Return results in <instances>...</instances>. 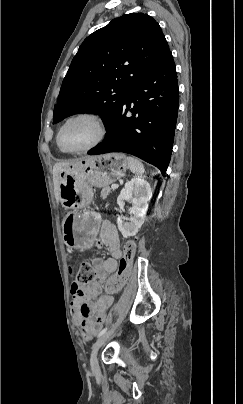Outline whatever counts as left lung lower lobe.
I'll list each match as a JSON object with an SVG mask.
<instances>
[{"label":"left lung lower lobe","mask_w":243,"mask_h":404,"mask_svg":"<svg viewBox=\"0 0 243 404\" xmlns=\"http://www.w3.org/2000/svg\"><path fill=\"white\" fill-rule=\"evenodd\" d=\"M178 105L177 73L170 52L136 83L116 119L106 127L105 140L88 154L129 153L158 167L164 175L171 159ZM128 111L133 116L127 117Z\"/></svg>","instance_id":"left-lung-lower-lobe-1"}]
</instances>
